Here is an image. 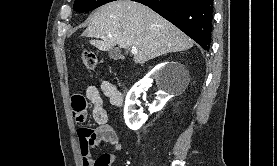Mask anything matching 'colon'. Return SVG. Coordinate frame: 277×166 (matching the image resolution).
I'll return each mask as SVG.
<instances>
[{"label":"colon","instance_id":"5ec220e1","mask_svg":"<svg viewBox=\"0 0 277 166\" xmlns=\"http://www.w3.org/2000/svg\"><path fill=\"white\" fill-rule=\"evenodd\" d=\"M82 61H83L84 66L89 70H93L97 64L96 55L88 49H85L82 52ZM99 164L100 163L97 162V165H99Z\"/></svg>","mask_w":277,"mask_h":166}]
</instances>
